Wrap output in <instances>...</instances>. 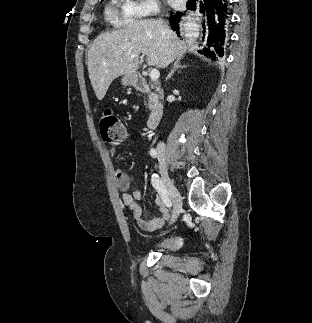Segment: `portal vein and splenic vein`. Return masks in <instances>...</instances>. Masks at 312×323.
Returning <instances> with one entry per match:
<instances>
[{"mask_svg":"<svg viewBox=\"0 0 312 323\" xmlns=\"http://www.w3.org/2000/svg\"><path fill=\"white\" fill-rule=\"evenodd\" d=\"M131 58H136V54H131ZM159 76H160L159 70H155V68H153V70H151L150 72L151 80H154L155 82V80H158Z\"/></svg>","mask_w":312,"mask_h":323,"instance_id":"18ae733b","label":"portal vein and splenic vein"}]
</instances>
